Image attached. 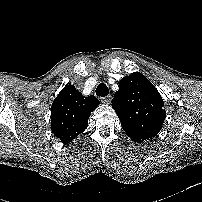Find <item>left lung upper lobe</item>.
<instances>
[{
  "instance_id": "obj_1",
  "label": "left lung upper lobe",
  "mask_w": 202,
  "mask_h": 202,
  "mask_svg": "<svg viewBox=\"0 0 202 202\" xmlns=\"http://www.w3.org/2000/svg\"><path fill=\"white\" fill-rule=\"evenodd\" d=\"M164 102L153 84L141 73L134 72L119 82L112 100L121 126L135 142L155 137L166 118Z\"/></svg>"
}]
</instances>
